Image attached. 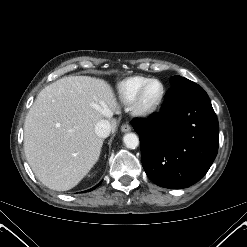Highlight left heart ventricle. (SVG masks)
Listing matches in <instances>:
<instances>
[{
	"mask_svg": "<svg viewBox=\"0 0 247 247\" xmlns=\"http://www.w3.org/2000/svg\"><path fill=\"white\" fill-rule=\"evenodd\" d=\"M160 93H161V86L158 83L151 84L147 88V90L143 96V104L145 106L152 105L159 98Z\"/></svg>",
	"mask_w": 247,
	"mask_h": 247,
	"instance_id": "1",
	"label": "left heart ventricle"
}]
</instances>
